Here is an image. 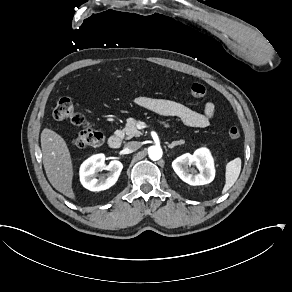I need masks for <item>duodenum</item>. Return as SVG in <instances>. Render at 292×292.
<instances>
[{
  "instance_id": "obj_1",
  "label": "duodenum",
  "mask_w": 292,
  "mask_h": 292,
  "mask_svg": "<svg viewBox=\"0 0 292 292\" xmlns=\"http://www.w3.org/2000/svg\"><path fill=\"white\" fill-rule=\"evenodd\" d=\"M108 145L112 149H119L122 145V137L120 134H113L108 140Z\"/></svg>"
}]
</instances>
